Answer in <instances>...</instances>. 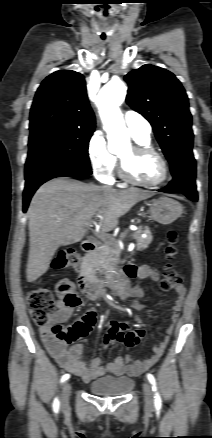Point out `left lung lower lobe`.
<instances>
[{"mask_svg":"<svg viewBox=\"0 0 212 438\" xmlns=\"http://www.w3.org/2000/svg\"><path fill=\"white\" fill-rule=\"evenodd\" d=\"M172 181L160 192H181L193 201L198 200L196 190V162L192 150L180 153L170 161Z\"/></svg>","mask_w":212,"mask_h":438,"instance_id":"0a47b994","label":"left lung lower lobe"}]
</instances>
